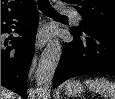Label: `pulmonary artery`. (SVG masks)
<instances>
[{
    "instance_id": "1",
    "label": "pulmonary artery",
    "mask_w": 115,
    "mask_h": 99,
    "mask_svg": "<svg viewBox=\"0 0 115 99\" xmlns=\"http://www.w3.org/2000/svg\"><path fill=\"white\" fill-rule=\"evenodd\" d=\"M60 12L69 14V15L72 16L76 21H80V20H81L80 14H79L77 11H75V10L69 8V7L61 6V7H60Z\"/></svg>"
}]
</instances>
